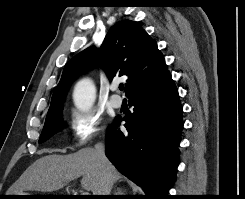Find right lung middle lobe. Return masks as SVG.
<instances>
[{
	"mask_svg": "<svg viewBox=\"0 0 245 199\" xmlns=\"http://www.w3.org/2000/svg\"><path fill=\"white\" fill-rule=\"evenodd\" d=\"M63 108L56 111L54 114L47 116L45 124L40 135L39 143H42L52 137L54 134L63 129L64 123L62 121Z\"/></svg>",
	"mask_w": 245,
	"mask_h": 199,
	"instance_id": "1",
	"label": "right lung middle lobe"
}]
</instances>
